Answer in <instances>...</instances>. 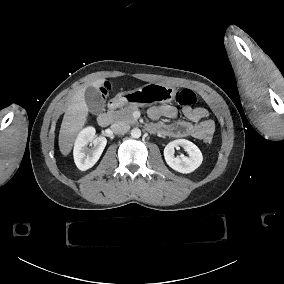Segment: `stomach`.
I'll return each mask as SVG.
<instances>
[{
	"label": "stomach",
	"instance_id": "obj_1",
	"mask_svg": "<svg viewBox=\"0 0 284 284\" xmlns=\"http://www.w3.org/2000/svg\"><path fill=\"white\" fill-rule=\"evenodd\" d=\"M175 88L162 83H148L140 88L120 92L113 99L115 106H150L169 103L174 99Z\"/></svg>",
	"mask_w": 284,
	"mask_h": 284
}]
</instances>
